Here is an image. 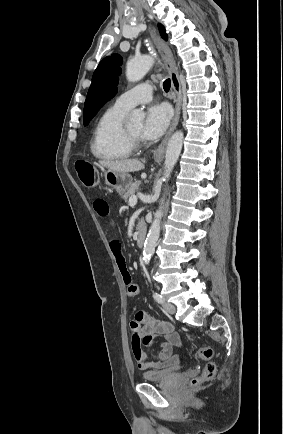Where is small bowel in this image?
I'll use <instances>...</instances> for the list:
<instances>
[{"label": "small bowel", "mask_w": 283, "mask_h": 434, "mask_svg": "<svg viewBox=\"0 0 283 434\" xmlns=\"http://www.w3.org/2000/svg\"><path fill=\"white\" fill-rule=\"evenodd\" d=\"M93 208L100 216L109 214V204L103 198L94 200ZM111 251L116 259L117 266L128 287V295L137 296L140 289L132 283L128 272L125 258L121 253L119 241L110 242ZM131 346L134 359L140 369H166L176 366L180 362L179 355L173 354L174 347H181L180 335L175 331L173 325L165 320H159L147 312L139 311L130 322ZM156 337H162L161 342H155ZM156 343L159 346V353L155 356H148L143 346H151Z\"/></svg>", "instance_id": "obj_1"}]
</instances>
